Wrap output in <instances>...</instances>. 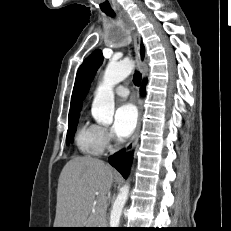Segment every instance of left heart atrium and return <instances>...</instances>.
Wrapping results in <instances>:
<instances>
[{
  "mask_svg": "<svg viewBox=\"0 0 231 231\" xmlns=\"http://www.w3.org/2000/svg\"><path fill=\"white\" fill-rule=\"evenodd\" d=\"M138 121L136 107L132 103H124L115 112L113 131L118 138L129 137Z\"/></svg>",
  "mask_w": 231,
  "mask_h": 231,
  "instance_id": "1",
  "label": "left heart atrium"
}]
</instances>
